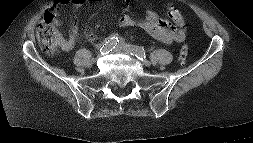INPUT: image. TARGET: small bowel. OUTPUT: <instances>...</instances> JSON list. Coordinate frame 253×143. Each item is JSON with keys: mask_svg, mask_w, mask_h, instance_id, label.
<instances>
[{"mask_svg": "<svg viewBox=\"0 0 253 143\" xmlns=\"http://www.w3.org/2000/svg\"><path fill=\"white\" fill-rule=\"evenodd\" d=\"M100 1L101 0H56L50 11L52 13H56L62 6L65 5H72L75 9H81ZM121 1L125 13L119 20L120 26H140L152 37L166 44L173 42L180 43L184 40L185 33L183 30V17L176 8L172 6L169 7V17L174 22V25H171L167 20L160 18L158 14L152 10L147 11L145 17L142 19L134 17L128 13L130 0ZM53 22L56 27L61 25L58 18H54ZM78 34V24L75 22L70 28L68 38L62 42L61 46L65 51H69L74 47ZM88 38L91 41L95 39L92 34H88Z\"/></svg>", "mask_w": 253, "mask_h": 143, "instance_id": "obj_1", "label": "small bowel"}]
</instances>
